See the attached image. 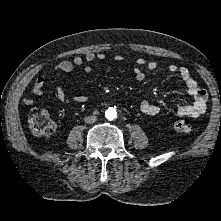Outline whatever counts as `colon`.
<instances>
[{
    "label": "colon",
    "instance_id": "colon-1",
    "mask_svg": "<svg viewBox=\"0 0 221 221\" xmlns=\"http://www.w3.org/2000/svg\"><path fill=\"white\" fill-rule=\"evenodd\" d=\"M28 123L32 133L37 136H47L55 130V123L50 119L45 110L30 114ZM173 128L176 132L188 133L191 130V121L188 118L177 120L174 122Z\"/></svg>",
    "mask_w": 221,
    "mask_h": 221
}]
</instances>
